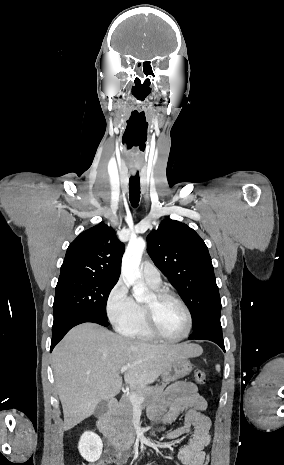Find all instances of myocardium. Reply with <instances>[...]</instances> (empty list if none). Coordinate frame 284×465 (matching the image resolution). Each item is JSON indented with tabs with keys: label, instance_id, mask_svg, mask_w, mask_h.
Wrapping results in <instances>:
<instances>
[{
	"label": "myocardium",
	"instance_id": "1",
	"mask_svg": "<svg viewBox=\"0 0 284 465\" xmlns=\"http://www.w3.org/2000/svg\"><path fill=\"white\" fill-rule=\"evenodd\" d=\"M152 296V301L143 305V310L146 318L144 326L148 334L155 340L162 343L174 344L184 341L190 335L193 328V316L188 306L181 299L163 289L156 290ZM165 301H172L178 304L186 314L187 328L185 333L179 338H166L163 335H161L157 329V311L159 306Z\"/></svg>",
	"mask_w": 284,
	"mask_h": 465
}]
</instances>
